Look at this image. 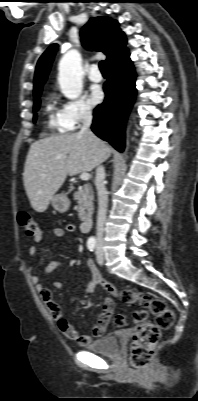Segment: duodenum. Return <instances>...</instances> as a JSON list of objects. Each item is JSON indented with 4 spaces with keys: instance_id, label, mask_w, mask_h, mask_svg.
<instances>
[{
    "instance_id": "1",
    "label": "duodenum",
    "mask_w": 198,
    "mask_h": 401,
    "mask_svg": "<svg viewBox=\"0 0 198 401\" xmlns=\"http://www.w3.org/2000/svg\"><path fill=\"white\" fill-rule=\"evenodd\" d=\"M93 224V216H87L81 223L80 229L83 233H87Z\"/></svg>"
}]
</instances>
